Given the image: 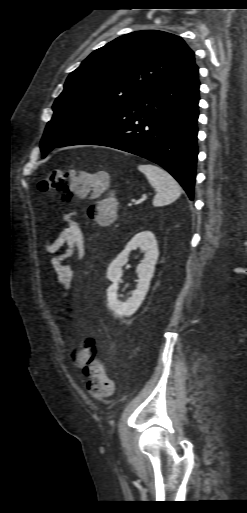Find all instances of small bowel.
I'll return each mask as SVG.
<instances>
[{
    "mask_svg": "<svg viewBox=\"0 0 247 513\" xmlns=\"http://www.w3.org/2000/svg\"><path fill=\"white\" fill-rule=\"evenodd\" d=\"M62 222L66 226L54 238L47 240L44 248L52 255L51 265L59 285L68 289L73 280V272L67 259L76 256L81 260L85 254V242L81 226L72 215L64 216Z\"/></svg>",
    "mask_w": 247,
    "mask_h": 513,
    "instance_id": "obj_1",
    "label": "small bowel"
}]
</instances>
